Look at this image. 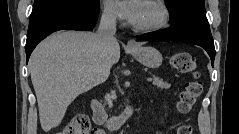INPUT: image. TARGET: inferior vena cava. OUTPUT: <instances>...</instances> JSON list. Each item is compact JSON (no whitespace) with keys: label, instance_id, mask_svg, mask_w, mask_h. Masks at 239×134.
<instances>
[{"label":"inferior vena cava","instance_id":"602c4592","mask_svg":"<svg viewBox=\"0 0 239 134\" xmlns=\"http://www.w3.org/2000/svg\"><path fill=\"white\" fill-rule=\"evenodd\" d=\"M116 16L112 10L105 8L97 31L100 43L99 55L97 58L96 72L99 77L106 79L110 73L111 62L109 60V49L116 41Z\"/></svg>","mask_w":239,"mask_h":134}]
</instances>
